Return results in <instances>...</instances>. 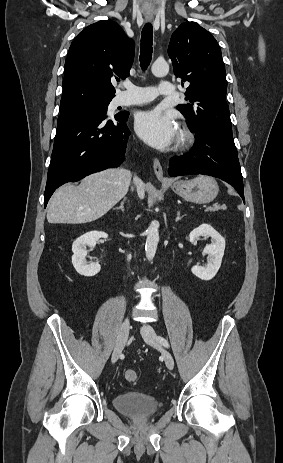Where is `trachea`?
I'll use <instances>...</instances> for the list:
<instances>
[{
    "label": "trachea",
    "mask_w": 283,
    "mask_h": 463,
    "mask_svg": "<svg viewBox=\"0 0 283 463\" xmlns=\"http://www.w3.org/2000/svg\"><path fill=\"white\" fill-rule=\"evenodd\" d=\"M153 27L151 23H146L142 29L140 47V66L145 70L151 62L153 52Z\"/></svg>",
    "instance_id": "obj_1"
}]
</instances>
